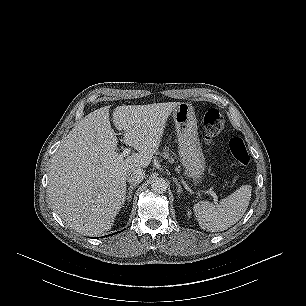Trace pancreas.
Masks as SVG:
<instances>
[{"instance_id": "cf45deb5", "label": "pancreas", "mask_w": 306, "mask_h": 306, "mask_svg": "<svg viewBox=\"0 0 306 306\" xmlns=\"http://www.w3.org/2000/svg\"><path fill=\"white\" fill-rule=\"evenodd\" d=\"M162 155H163L164 157H166V158H170V157H169L170 154H169L168 150H165V152L162 153Z\"/></svg>"}]
</instances>
